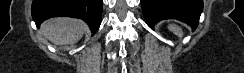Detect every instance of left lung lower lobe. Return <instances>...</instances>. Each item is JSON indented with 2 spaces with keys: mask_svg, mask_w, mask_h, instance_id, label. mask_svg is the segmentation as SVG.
<instances>
[{
  "mask_svg": "<svg viewBox=\"0 0 244 73\" xmlns=\"http://www.w3.org/2000/svg\"><path fill=\"white\" fill-rule=\"evenodd\" d=\"M143 15L151 28L163 19H177L197 28L203 9L202 0H140Z\"/></svg>",
  "mask_w": 244,
  "mask_h": 73,
  "instance_id": "1",
  "label": "left lung lower lobe"
}]
</instances>
